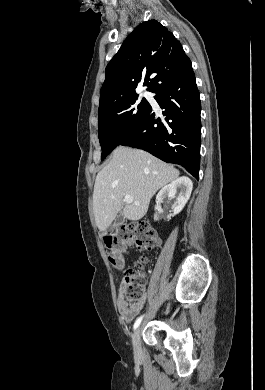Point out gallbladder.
Returning <instances> with one entry per match:
<instances>
[{
  "mask_svg": "<svg viewBox=\"0 0 265 390\" xmlns=\"http://www.w3.org/2000/svg\"><path fill=\"white\" fill-rule=\"evenodd\" d=\"M124 221H125L124 214L123 212H120L114 219V222L112 224V230L121 226L124 223Z\"/></svg>",
  "mask_w": 265,
  "mask_h": 390,
  "instance_id": "gallbladder-1",
  "label": "gallbladder"
}]
</instances>
